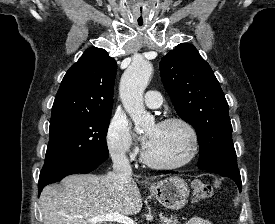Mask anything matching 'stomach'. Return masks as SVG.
Masks as SVG:
<instances>
[{"label": "stomach", "mask_w": 275, "mask_h": 224, "mask_svg": "<svg viewBox=\"0 0 275 224\" xmlns=\"http://www.w3.org/2000/svg\"><path fill=\"white\" fill-rule=\"evenodd\" d=\"M149 189L156 200L170 210L184 207L188 202L190 193L187 182L178 176L152 183Z\"/></svg>", "instance_id": "0dacf381"}]
</instances>
